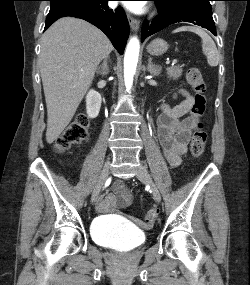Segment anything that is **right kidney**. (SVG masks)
<instances>
[{
    "label": "right kidney",
    "mask_w": 250,
    "mask_h": 285,
    "mask_svg": "<svg viewBox=\"0 0 250 285\" xmlns=\"http://www.w3.org/2000/svg\"><path fill=\"white\" fill-rule=\"evenodd\" d=\"M101 107V95L91 89L86 96V110L90 118H96L99 114Z\"/></svg>",
    "instance_id": "1"
}]
</instances>
